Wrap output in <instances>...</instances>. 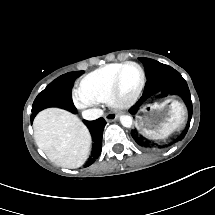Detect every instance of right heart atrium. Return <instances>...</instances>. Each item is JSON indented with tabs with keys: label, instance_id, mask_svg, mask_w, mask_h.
<instances>
[{
	"label": "right heart atrium",
	"instance_id": "obj_1",
	"mask_svg": "<svg viewBox=\"0 0 215 215\" xmlns=\"http://www.w3.org/2000/svg\"><path fill=\"white\" fill-rule=\"evenodd\" d=\"M74 103L76 107L80 110H85L88 108V102L86 99L83 97V95L76 93L74 95ZM88 113V112H87Z\"/></svg>",
	"mask_w": 215,
	"mask_h": 215
}]
</instances>
